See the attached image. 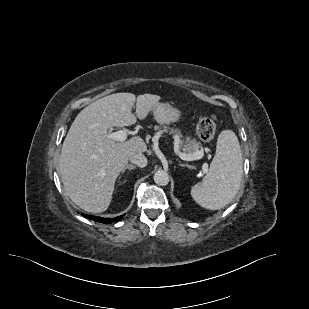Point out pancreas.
<instances>
[{
	"label": "pancreas",
	"instance_id": "cf45deb5",
	"mask_svg": "<svg viewBox=\"0 0 309 309\" xmlns=\"http://www.w3.org/2000/svg\"><path fill=\"white\" fill-rule=\"evenodd\" d=\"M156 131L169 132L177 138L179 147L185 154H194L196 151H203L201 143L196 141V139H191V137H183L180 129H170L167 126L163 128L160 126H155Z\"/></svg>",
	"mask_w": 309,
	"mask_h": 309
}]
</instances>
